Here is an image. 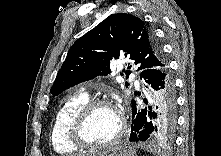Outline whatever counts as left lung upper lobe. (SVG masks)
I'll return each mask as SVG.
<instances>
[{"mask_svg": "<svg viewBox=\"0 0 221 156\" xmlns=\"http://www.w3.org/2000/svg\"><path fill=\"white\" fill-rule=\"evenodd\" d=\"M119 58L129 60L141 72L167 64L160 45L140 18L112 14L71 46L50 91L56 96L80 82L107 75L110 63ZM130 68L127 63L121 75L128 77Z\"/></svg>", "mask_w": 221, "mask_h": 156, "instance_id": "left-lung-upper-lobe-1", "label": "left lung upper lobe"}]
</instances>
